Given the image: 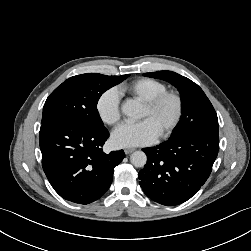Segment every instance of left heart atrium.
Here are the masks:
<instances>
[{"mask_svg": "<svg viewBox=\"0 0 251 251\" xmlns=\"http://www.w3.org/2000/svg\"><path fill=\"white\" fill-rule=\"evenodd\" d=\"M159 133L150 119L137 123H123L112 134V142L117 147H137L153 143Z\"/></svg>", "mask_w": 251, "mask_h": 251, "instance_id": "obj_1", "label": "left heart atrium"}]
</instances>
